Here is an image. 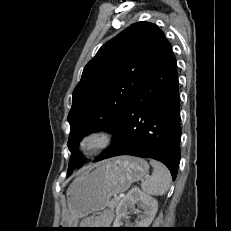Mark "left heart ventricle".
I'll use <instances>...</instances> for the list:
<instances>
[{"label":"left heart ventricle","mask_w":231,"mask_h":231,"mask_svg":"<svg viewBox=\"0 0 231 231\" xmlns=\"http://www.w3.org/2000/svg\"><path fill=\"white\" fill-rule=\"evenodd\" d=\"M88 145H92V143H88Z\"/></svg>","instance_id":"left-heart-ventricle-1"}]
</instances>
